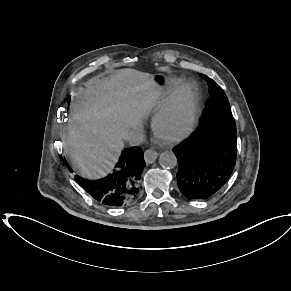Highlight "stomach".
Listing matches in <instances>:
<instances>
[{
    "label": "stomach",
    "instance_id": "obj_1",
    "mask_svg": "<svg viewBox=\"0 0 291 291\" xmlns=\"http://www.w3.org/2000/svg\"><path fill=\"white\" fill-rule=\"evenodd\" d=\"M153 81L155 84H163L164 76L162 74L153 75Z\"/></svg>",
    "mask_w": 291,
    "mask_h": 291
}]
</instances>
